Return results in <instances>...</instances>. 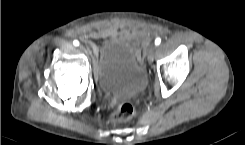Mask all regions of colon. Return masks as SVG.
<instances>
[{
	"instance_id": "5ec220e1",
	"label": "colon",
	"mask_w": 245,
	"mask_h": 145,
	"mask_svg": "<svg viewBox=\"0 0 245 145\" xmlns=\"http://www.w3.org/2000/svg\"><path fill=\"white\" fill-rule=\"evenodd\" d=\"M135 113L134 106L131 103L120 105L111 117L112 123H122L130 120Z\"/></svg>"
}]
</instances>
